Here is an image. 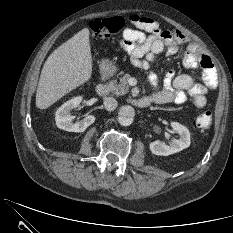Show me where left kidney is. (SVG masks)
I'll use <instances>...</instances> for the list:
<instances>
[{
    "label": "left kidney",
    "instance_id": "left-kidney-1",
    "mask_svg": "<svg viewBox=\"0 0 233 233\" xmlns=\"http://www.w3.org/2000/svg\"><path fill=\"white\" fill-rule=\"evenodd\" d=\"M171 127L179 134V139H172L169 144L161 141H154L150 143V151L154 155L168 156L182 151L190 146V132L182 124L178 122H171Z\"/></svg>",
    "mask_w": 233,
    "mask_h": 233
}]
</instances>
